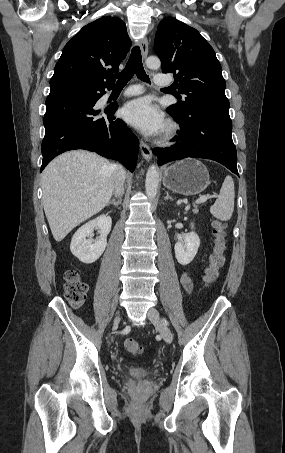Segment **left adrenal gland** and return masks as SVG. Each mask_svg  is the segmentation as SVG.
<instances>
[{"mask_svg": "<svg viewBox=\"0 0 285 453\" xmlns=\"http://www.w3.org/2000/svg\"><path fill=\"white\" fill-rule=\"evenodd\" d=\"M164 200H165V201H166V200H171V201H173V198H172L171 196H169L168 191H166V197L164 198Z\"/></svg>", "mask_w": 285, "mask_h": 453, "instance_id": "a2214340", "label": "left adrenal gland"}]
</instances>
